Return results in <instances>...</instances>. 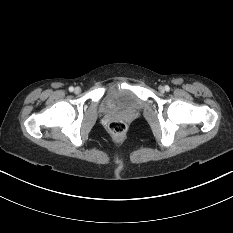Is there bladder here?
<instances>
[{
  "mask_svg": "<svg viewBox=\"0 0 233 233\" xmlns=\"http://www.w3.org/2000/svg\"><path fill=\"white\" fill-rule=\"evenodd\" d=\"M102 106L107 112L129 113L140 110L142 101L132 88L113 86L105 92Z\"/></svg>",
  "mask_w": 233,
  "mask_h": 233,
  "instance_id": "31cf9c89",
  "label": "bladder"
}]
</instances>
